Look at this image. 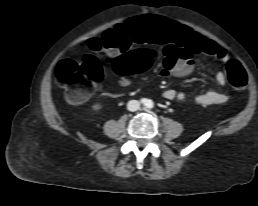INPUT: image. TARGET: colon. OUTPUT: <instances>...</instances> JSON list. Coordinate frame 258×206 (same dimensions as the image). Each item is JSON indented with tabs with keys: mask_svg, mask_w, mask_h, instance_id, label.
<instances>
[{
	"mask_svg": "<svg viewBox=\"0 0 258 206\" xmlns=\"http://www.w3.org/2000/svg\"><path fill=\"white\" fill-rule=\"evenodd\" d=\"M100 50L101 44L95 42ZM153 54L139 50L113 60L115 69L121 74H139L149 69ZM225 73L231 86L243 90L247 85V74L235 59L225 64ZM57 83L66 91V99L72 104L85 102L92 92L103 82L104 72L99 57L94 53L86 54L82 62L63 60L56 68Z\"/></svg>",
	"mask_w": 258,
	"mask_h": 206,
	"instance_id": "colon-1",
	"label": "colon"
}]
</instances>
